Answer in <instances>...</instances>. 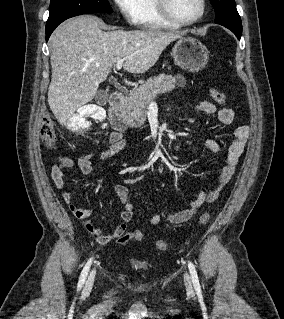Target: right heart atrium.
Wrapping results in <instances>:
<instances>
[{
  "mask_svg": "<svg viewBox=\"0 0 284 319\" xmlns=\"http://www.w3.org/2000/svg\"><path fill=\"white\" fill-rule=\"evenodd\" d=\"M120 14L130 25H138L142 11V0H113Z\"/></svg>",
  "mask_w": 284,
  "mask_h": 319,
  "instance_id": "right-heart-atrium-1",
  "label": "right heart atrium"
}]
</instances>
